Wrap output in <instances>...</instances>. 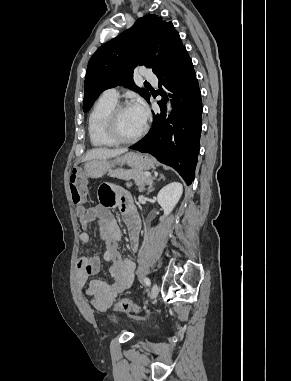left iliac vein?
I'll return each instance as SVG.
<instances>
[{"mask_svg": "<svg viewBox=\"0 0 291 381\" xmlns=\"http://www.w3.org/2000/svg\"><path fill=\"white\" fill-rule=\"evenodd\" d=\"M158 291H159L158 285L156 283H154L152 286V289H151V293H150V299L151 300L156 299V297L158 295Z\"/></svg>", "mask_w": 291, "mask_h": 381, "instance_id": "obj_1", "label": "left iliac vein"}]
</instances>
